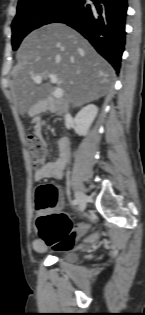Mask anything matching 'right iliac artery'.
Returning a JSON list of instances; mask_svg holds the SVG:
<instances>
[{"label":"right iliac artery","mask_w":145,"mask_h":315,"mask_svg":"<svg viewBox=\"0 0 145 315\" xmlns=\"http://www.w3.org/2000/svg\"><path fill=\"white\" fill-rule=\"evenodd\" d=\"M72 206H76L78 204V201L76 199L71 201Z\"/></svg>","instance_id":"82829eb1"}]
</instances>
